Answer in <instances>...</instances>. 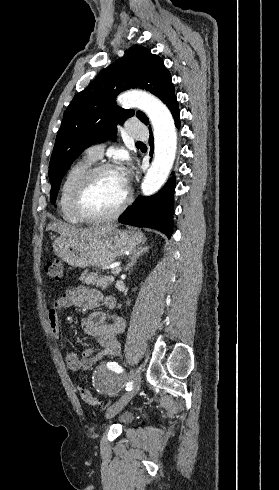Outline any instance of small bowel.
Wrapping results in <instances>:
<instances>
[{"label":"small bowel","mask_w":279,"mask_h":490,"mask_svg":"<svg viewBox=\"0 0 279 490\" xmlns=\"http://www.w3.org/2000/svg\"><path fill=\"white\" fill-rule=\"evenodd\" d=\"M69 306L92 311L82 318L81 327L86 334L96 337L99 344L97 349H86L81 358L73 350H66L65 362L70 370L88 369L104 358L116 357L120 354L118 336L125 329V321L119 314L110 311L116 306L112 296L86 286L66 290L54 300L47 314L49 329L56 338L61 337L59 315ZM100 306L104 309L96 310Z\"/></svg>","instance_id":"1"}]
</instances>
